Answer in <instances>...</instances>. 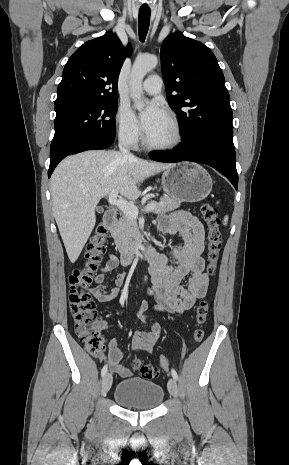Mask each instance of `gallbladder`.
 <instances>
[{
    "label": "gallbladder",
    "mask_w": 289,
    "mask_h": 465,
    "mask_svg": "<svg viewBox=\"0 0 289 465\" xmlns=\"http://www.w3.org/2000/svg\"><path fill=\"white\" fill-rule=\"evenodd\" d=\"M98 211H99V212H101V211H102V209H101V208H98Z\"/></svg>",
    "instance_id": "gallbladder-1"
}]
</instances>
